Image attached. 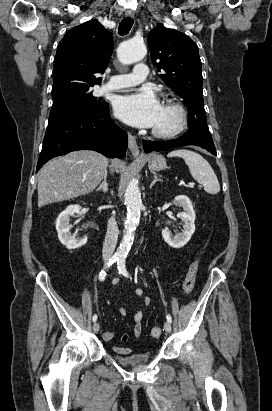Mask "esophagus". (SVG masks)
Masks as SVG:
<instances>
[{
    "label": "esophagus",
    "instance_id": "esophagus-1",
    "mask_svg": "<svg viewBox=\"0 0 272 411\" xmlns=\"http://www.w3.org/2000/svg\"><path fill=\"white\" fill-rule=\"evenodd\" d=\"M126 17H133L134 16V11L133 10H127L125 12ZM128 147L133 156H140V150L139 146L137 144L135 136H133L131 133H128Z\"/></svg>",
    "mask_w": 272,
    "mask_h": 411
}]
</instances>
